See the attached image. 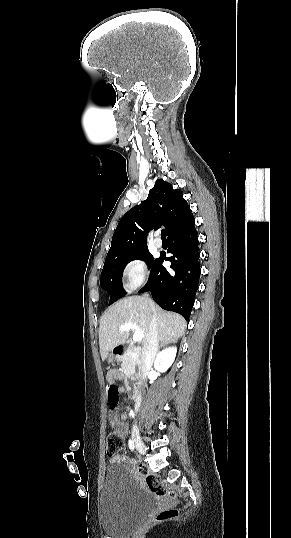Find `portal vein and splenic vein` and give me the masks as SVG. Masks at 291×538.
<instances>
[{
	"label": "portal vein and splenic vein",
	"instance_id": "1",
	"mask_svg": "<svg viewBox=\"0 0 291 538\" xmlns=\"http://www.w3.org/2000/svg\"><path fill=\"white\" fill-rule=\"evenodd\" d=\"M119 330H121V331L133 330L134 331V335H133L134 342H139L143 338L142 330L139 329L138 326L135 323H132V322L124 323L123 325H121L119 327Z\"/></svg>",
	"mask_w": 291,
	"mask_h": 538
}]
</instances>
